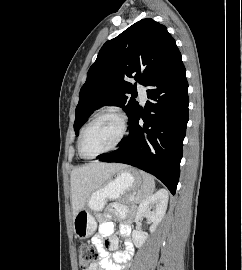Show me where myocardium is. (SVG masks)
I'll return each instance as SVG.
<instances>
[{
    "label": "myocardium",
    "mask_w": 242,
    "mask_h": 270,
    "mask_svg": "<svg viewBox=\"0 0 242 270\" xmlns=\"http://www.w3.org/2000/svg\"><path fill=\"white\" fill-rule=\"evenodd\" d=\"M107 116H111V117H115L117 118L119 121H120V124H121V132H120V135L118 137V139L116 140V142L110 146L109 148L99 152V153H96L94 155H86L83 151V148H82V142H83V138L85 136V133L87 132V130L97 121L99 120L100 118H103V117H107ZM127 131H128V122H127V118L126 116L120 112V111H117V110H103L101 112H99L98 114H96L87 124L86 126L82 129L81 133H80V136H79V139H78V145H77V148H78V153L79 155L84 158V159H93V158H96L98 156H101V155H104L106 153H109L113 150H115L122 142L123 140L125 139L126 135H127Z\"/></svg>",
    "instance_id": "1"
}]
</instances>
